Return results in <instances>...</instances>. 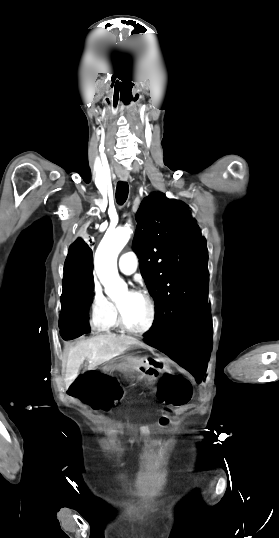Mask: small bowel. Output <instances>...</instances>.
Wrapping results in <instances>:
<instances>
[{
	"label": "small bowel",
	"mask_w": 279,
	"mask_h": 538,
	"mask_svg": "<svg viewBox=\"0 0 279 538\" xmlns=\"http://www.w3.org/2000/svg\"><path fill=\"white\" fill-rule=\"evenodd\" d=\"M146 386L159 401L166 404L170 409L184 406L192 398L188 381L181 376L159 374L150 380ZM160 424L163 427L169 425V415L167 412L163 413Z\"/></svg>",
	"instance_id": "obj_1"
}]
</instances>
